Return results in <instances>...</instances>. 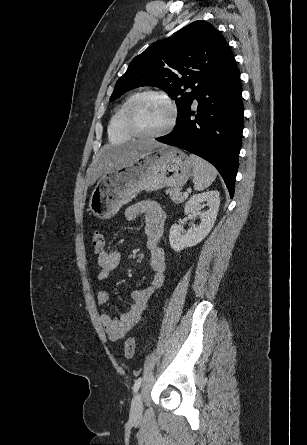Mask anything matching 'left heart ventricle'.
<instances>
[{"label":"left heart ventricle","instance_id":"1","mask_svg":"<svg viewBox=\"0 0 307 445\" xmlns=\"http://www.w3.org/2000/svg\"><path fill=\"white\" fill-rule=\"evenodd\" d=\"M171 117L170 108L161 99L150 97L138 107L137 121L146 132L155 133L163 129Z\"/></svg>","mask_w":307,"mask_h":445}]
</instances>
